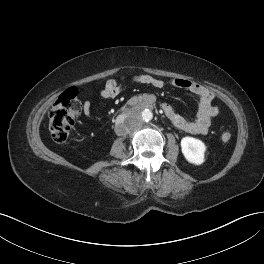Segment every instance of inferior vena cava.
Returning a JSON list of instances; mask_svg holds the SVG:
<instances>
[{
  "label": "inferior vena cava",
  "instance_id": "602c4592",
  "mask_svg": "<svg viewBox=\"0 0 264 264\" xmlns=\"http://www.w3.org/2000/svg\"><path fill=\"white\" fill-rule=\"evenodd\" d=\"M127 122V119L125 118V116L123 115H118L115 118V124L116 125H121V124H125Z\"/></svg>",
  "mask_w": 264,
  "mask_h": 264
}]
</instances>
